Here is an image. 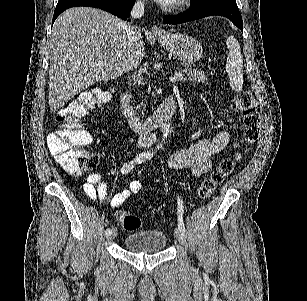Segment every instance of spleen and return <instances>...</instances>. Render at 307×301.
<instances>
[{
	"label": "spleen",
	"mask_w": 307,
	"mask_h": 301,
	"mask_svg": "<svg viewBox=\"0 0 307 301\" xmlns=\"http://www.w3.org/2000/svg\"><path fill=\"white\" fill-rule=\"evenodd\" d=\"M227 54L226 70L228 72L230 86L235 92H241L243 88V56L238 40L235 36H228L226 40Z\"/></svg>",
	"instance_id": "3e777b00"
}]
</instances>
